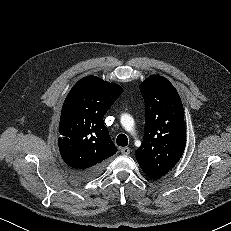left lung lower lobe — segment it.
I'll return each instance as SVG.
<instances>
[{
	"mask_svg": "<svg viewBox=\"0 0 231 231\" xmlns=\"http://www.w3.org/2000/svg\"><path fill=\"white\" fill-rule=\"evenodd\" d=\"M144 171V170H143ZM150 178H152V179H154V180H156V179H159L160 178V176H157V175H154V174H150L149 172H146V171H144Z\"/></svg>",
	"mask_w": 231,
	"mask_h": 231,
	"instance_id": "obj_1",
	"label": "left lung lower lobe"
}]
</instances>
